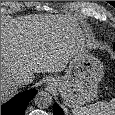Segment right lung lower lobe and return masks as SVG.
I'll list each match as a JSON object with an SVG mask.
<instances>
[{
	"label": "right lung lower lobe",
	"instance_id": "obj_1",
	"mask_svg": "<svg viewBox=\"0 0 115 115\" xmlns=\"http://www.w3.org/2000/svg\"><path fill=\"white\" fill-rule=\"evenodd\" d=\"M35 94L36 90L31 89L16 95L10 101L1 105V115H24L28 102Z\"/></svg>",
	"mask_w": 115,
	"mask_h": 115
}]
</instances>
